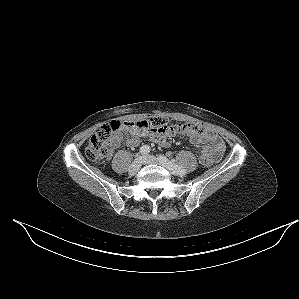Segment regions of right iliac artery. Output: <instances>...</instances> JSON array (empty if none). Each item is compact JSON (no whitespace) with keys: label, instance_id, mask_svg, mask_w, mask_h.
Listing matches in <instances>:
<instances>
[{"label":"right iliac artery","instance_id":"82829eb1","mask_svg":"<svg viewBox=\"0 0 299 299\" xmlns=\"http://www.w3.org/2000/svg\"><path fill=\"white\" fill-rule=\"evenodd\" d=\"M150 152V147L148 145H143L140 147L141 154H148Z\"/></svg>","mask_w":299,"mask_h":299}]
</instances>
